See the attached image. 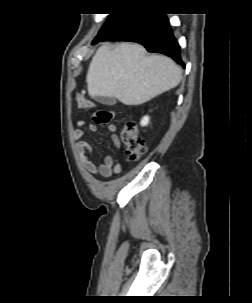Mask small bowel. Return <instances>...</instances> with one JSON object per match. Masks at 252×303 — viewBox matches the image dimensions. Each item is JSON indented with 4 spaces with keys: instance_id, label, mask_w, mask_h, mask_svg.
<instances>
[{
    "instance_id": "c3829d8e",
    "label": "small bowel",
    "mask_w": 252,
    "mask_h": 303,
    "mask_svg": "<svg viewBox=\"0 0 252 303\" xmlns=\"http://www.w3.org/2000/svg\"><path fill=\"white\" fill-rule=\"evenodd\" d=\"M86 126L85 120H78L76 122V130L73 132L72 137L77 142L76 149L79 155L80 161L87 172L93 175L111 176L121 172V164L119 161L113 160L111 156H106L102 164L96 163L90 159L93 155V149L90 144L84 140L85 133L82 128ZM91 131H96L97 127L94 124L89 125ZM109 132L112 133V141L118 149L120 148V142L116 135L117 127L115 124H109L107 126Z\"/></svg>"
}]
</instances>
